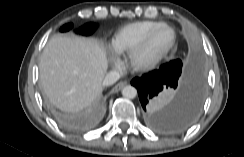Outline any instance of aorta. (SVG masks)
Here are the masks:
<instances>
[{
	"mask_svg": "<svg viewBox=\"0 0 244 157\" xmlns=\"http://www.w3.org/2000/svg\"><path fill=\"white\" fill-rule=\"evenodd\" d=\"M122 95L126 98L133 99L137 95V90L131 85H127L122 89Z\"/></svg>",
	"mask_w": 244,
	"mask_h": 157,
	"instance_id": "1",
	"label": "aorta"
}]
</instances>
